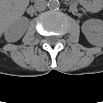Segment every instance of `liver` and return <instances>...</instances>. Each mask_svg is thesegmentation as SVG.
I'll return each mask as SVG.
<instances>
[{
  "instance_id": "1",
  "label": "liver",
  "mask_w": 103,
  "mask_h": 103,
  "mask_svg": "<svg viewBox=\"0 0 103 103\" xmlns=\"http://www.w3.org/2000/svg\"><path fill=\"white\" fill-rule=\"evenodd\" d=\"M29 2L25 0H7L1 3L0 31L4 33L24 14Z\"/></svg>"
}]
</instances>
